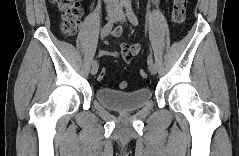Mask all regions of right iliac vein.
Returning <instances> with one entry per match:
<instances>
[{"label":"right iliac vein","mask_w":239,"mask_h":156,"mask_svg":"<svg viewBox=\"0 0 239 156\" xmlns=\"http://www.w3.org/2000/svg\"><path fill=\"white\" fill-rule=\"evenodd\" d=\"M115 14H116V9H115V8H109V9L107 10V18H108L109 20H111V19L114 17ZM98 68H99L98 63L93 64V65H92V68H91V74H92V75H95V74L97 73V71H98Z\"/></svg>","instance_id":"right-iliac-vein-1"}]
</instances>
